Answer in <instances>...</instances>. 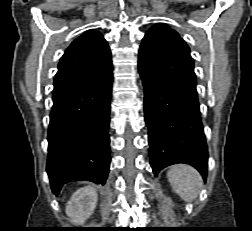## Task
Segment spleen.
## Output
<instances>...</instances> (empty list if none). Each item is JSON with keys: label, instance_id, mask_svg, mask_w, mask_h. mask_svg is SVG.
<instances>
[{"label": "spleen", "instance_id": "spleen-1", "mask_svg": "<svg viewBox=\"0 0 252 231\" xmlns=\"http://www.w3.org/2000/svg\"><path fill=\"white\" fill-rule=\"evenodd\" d=\"M167 177L174 192L186 202L197 198L203 186L201 175L189 165L172 166L167 172Z\"/></svg>", "mask_w": 252, "mask_h": 231}]
</instances>
